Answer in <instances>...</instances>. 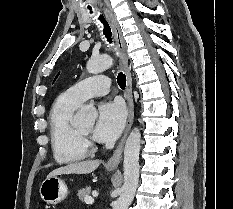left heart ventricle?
<instances>
[{
    "mask_svg": "<svg viewBox=\"0 0 233 209\" xmlns=\"http://www.w3.org/2000/svg\"><path fill=\"white\" fill-rule=\"evenodd\" d=\"M83 133L90 135L93 130V124L79 128Z\"/></svg>",
    "mask_w": 233,
    "mask_h": 209,
    "instance_id": "left-heart-ventricle-1",
    "label": "left heart ventricle"
}]
</instances>
